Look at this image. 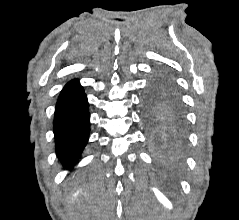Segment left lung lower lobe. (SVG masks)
I'll use <instances>...</instances> for the list:
<instances>
[{"label":"left lung lower lobe","mask_w":239,"mask_h":220,"mask_svg":"<svg viewBox=\"0 0 239 220\" xmlns=\"http://www.w3.org/2000/svg\"><path fill=\"white\" fill-rule=\"evenodd\" d=\"M183 134V113L175 111L160 128L153 130L152 144L163 159L176 160Z\"/></svg>","instance_id":"1"}]
</instances>
